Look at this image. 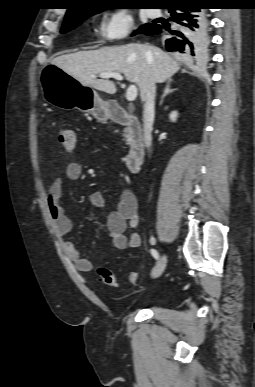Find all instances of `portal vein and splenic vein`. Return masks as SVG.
Wrapping results in <instances>:
<instances>
[{"label":"portal vein and splenic vein","instance_id":"1","mask_svg":"<svg viewBox=\"0 0 255 387\" xmlns=\"http://www.w3.org/2000/svg\"><path fill=\"white\" fill-rule=\"evenodd\" d=\"M100 78L108 79V78H114L116 80H123V76L120 73L117 72H106L99 74ZM137 97V87L133 84L129 85L127 92H126V99L129 102L135 101Z\"/></svg>","mask_w":255,"mask_h":387}]
</instances>
